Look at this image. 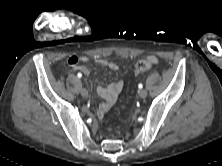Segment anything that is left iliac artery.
Here are the masks:
<instances>
[{
	"instance_id": "obj_1",
	"label": "left iliac artery",
	"mask_w": 222,
	"mask_h": 166,
	"mask_svg": "<svg viewBox=\"0 0 222 166\" xmlns=\"http://www.w3.org/2000/svg\"><path fill=\"white\" fill-rule=\"evenodd\" d=\"M138 87H139V88H142V87H143V85H142V84H139V85H138Z\"/></svg>"
}]
</instances>
